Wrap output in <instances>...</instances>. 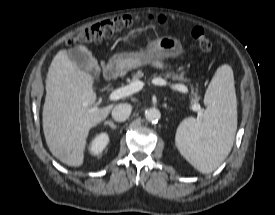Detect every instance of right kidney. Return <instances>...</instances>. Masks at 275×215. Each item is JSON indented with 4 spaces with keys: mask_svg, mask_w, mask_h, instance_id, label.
<instances>
[{
    "mask_svg": "<svg viewBox=\"0 0 275 215\" xmlns=\"http://www.w3.org/2000/svg\"><path fill=\"white\" fill-rule=\"evenodd\" d=\"M109 142V136L107 133H101L97 135L90 143L89 150L92 154L98 155L102 153Z\"/></svg>",
    "mask_w": 275,
    "mask_h": 215,
    "instance_id": "right-kidney-1",
    "label": "right kidney"
}]
</instances>
